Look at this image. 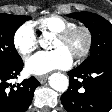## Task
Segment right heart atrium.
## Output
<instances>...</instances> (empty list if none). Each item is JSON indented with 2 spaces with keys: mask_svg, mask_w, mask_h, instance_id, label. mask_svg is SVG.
<instances>
[{
  "mask_svg": "<svg viewBox=\"0 0 112 112\" xmlns=\"http://www.w3.org/2000/svg\"><path fill=\"white\" fill-rule=\"evenodd\" d=\"M13 45L23 57H27L36 50L38 39L32 23H23L16 29L13 35Z\"/></svg>",
  "mask_w": 112,
  "mask_h": 112,
  "instance_id": "1",
  "label": "right heart atrium"
}]
</instances>
